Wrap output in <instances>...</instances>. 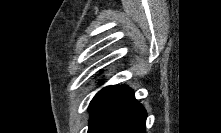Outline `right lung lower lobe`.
Wrapping results in <instances>:
<instances>
[{
    "label": "right lung lower lobe",
    "mask_w": 221,
    "mask_h": 133,
    "mask_svg": "<svg viewBox=\"0 0 221 133\" xmlns=\"http://www.w3.org/2000/svg\"><path fill=\"white\" fill-rule=\"evenodd\" d=\"M89 110L88 133H145L147 113L124 85L103 88Z\"/></svg>",
    "instance_id": "right-lung-lower-lobe-1"
}]
</instances>
